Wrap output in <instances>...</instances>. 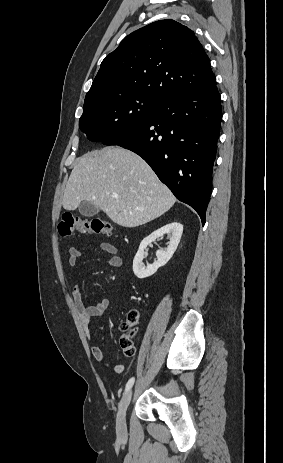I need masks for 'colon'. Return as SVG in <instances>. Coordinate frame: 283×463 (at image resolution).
<instances>
[{"label":"colon","instance_id":"colon-1","mask_svg":"<svg viewBox=\"0 0 283 463\" xmlns=\"http://www.w3.org/2000/svg\"><path fill=\"white\" fill-rule=\"evenodd\" d=\"M58 230L62 236H70L75 231L83 234L95 233L112 235L115 231L114 226L99 217H75L70 214H65L61 217ZM139 314L136 310L127 313L121 321V347L125 356L130 357L135 353V346L132 337L136 332Z\"/></svg>","mask_w":283,"mask_h":463}]
</instances>
